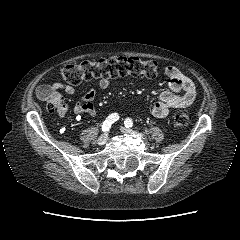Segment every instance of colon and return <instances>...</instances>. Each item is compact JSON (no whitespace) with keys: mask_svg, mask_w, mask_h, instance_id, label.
<instances>
[{"mask_svg":"<svg viewBox=\"0 0 240 240\" xmlns=\"http://www.w3.org/2000/svg\"><path fill=\"white\" fill-rule=\"evenodd\" d=\"M62 78L67 85H78L83 81L98 78H116L137 76L156 78L160 74L158 63L154 60H142L137 57L109 56L96 61H84L67 65L62 69ZM39 97L51 112L59 111L62 100L53 85H43L38 89ZM179 128L189 125L190 117L185 112H177L173 117Z\"/></svg>","mask_w":240,"mask_h":240,"instance_id":"5ec220e1","label":"colon"}]
</instances>
